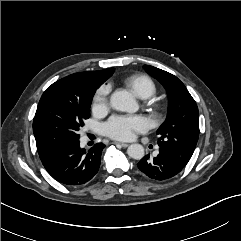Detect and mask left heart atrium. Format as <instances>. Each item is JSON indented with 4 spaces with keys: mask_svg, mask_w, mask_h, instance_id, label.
Wrapping results in <instances>:
<instances>
[{
    "mask_svg": "<svg viewBox=\"0 0 241 241\" xmlns=\"http://www.w3.org/2000/svg\"><path fill=\"white\" fill-rule=\"evenodd\" d=\"M148 121L140 116H113L103 126L104 132L112 139L129 141L137 132L148 128Z\"/></svg>",
    "mask_w": 241,
    "mask_h": 241,
    "instance_id": "39dd6f15",
    "label": "left heart atrium"
}]
</instances>
